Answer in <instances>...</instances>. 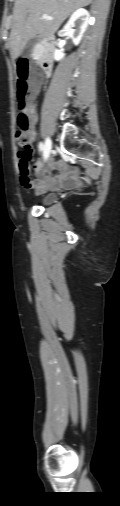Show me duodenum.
I'll list each match as a JSON object with an SVG mask.
<instances>
[{"mask_svg":"<svg viewBox=\"0 0 120 506\" xmlns=\"http://www.w3.org/2000/svg\"><path fill=\"white\" fill-rule=\"evenodd\" d=\"M42 56L40 67L44 74H49L54 60V40L52 37L44 38L40 41ZM21 56H26V51H21Z\"/></svg>","mask_w":120,"mask_h":506,"instance_id":"obj_1","label":"duodenum"}]
</instances>
